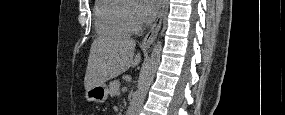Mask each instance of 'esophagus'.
Listing matches in <instances>:
<instances>
[{"label":"esophagus","mask_w":285,"mask_h":115,"mask_svg":"<svg viewBox=\"0 0 285 115\" xmlns=\"http://www.w3.org/2000/svg\"><path fill=\"white\" fill-rule=\"evenodd\" d=\"M167 4V0H162L161 1V6H160V11L157 16L156 21L150 28L149 32L145 35L144 39L141 42V47L142 48H149L150 45L153 43L154 39L156 38L162 24L163 16L165 13V7Z\"/></svg>","instance_id":"esophagus-1"}]
</instances>
